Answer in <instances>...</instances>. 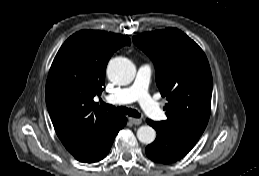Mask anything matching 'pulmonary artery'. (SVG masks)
Instances as JSON below:
<instances>
[{
    "label": "pulmonary artery",
    "instance_id": "pulmonary-artery-1",
    "mask_svg": "<svg viewBox=\"0 0 259 176\" xmlns=\"http://www.w3.org/2000/svg\"><path fill=\"white\" fill-rule=\"evenodd\" d=\"M150 77L151 67L149 65H141L133 84L119 89L114 94L109 95L106 100L116 105L138 101L148 116L155 120H161L164 117V112L158 102L148 92Z\"/></svg>",
    "mask_w": 259,
    "mask_h": 176
}]
</instances>
